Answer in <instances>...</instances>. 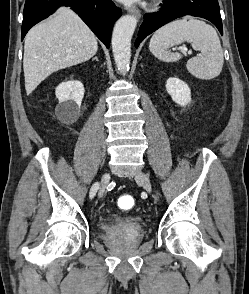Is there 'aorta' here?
I'll return each mask as SVG.
<instances>
[{
    "mask_svg": "<svg viewBox=\"0 0 249 294\" xmlns=\"http://www.w3.org/2000/svg\"><path fill=\"white\" fill-rule=\"evenodd\" d=\"M137 25L136 17L125 15L115 24L112 35V51L119 71L129 69L131 59V39Z\"/></svg>",
    "mask_w": 249,
    "mask_h": 294,
    "instance_id": "obj_1",
    "label": "aorta"
}]
</instances>
